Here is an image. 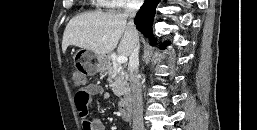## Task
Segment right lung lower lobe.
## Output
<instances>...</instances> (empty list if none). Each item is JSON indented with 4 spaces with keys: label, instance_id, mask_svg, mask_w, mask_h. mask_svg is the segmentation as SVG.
<instances>
[{
    "label": "right lung lower lobe",
    "instance_id": "1",
    "mask_svg": "<svg viewBox=\"0 0 257 130\" xmlns=\"http://www.w3.org/2000/svg\"><path fill=\"white\" fill-rule=\"evenodd\" d=\"M160 0H147L135 17L136 27L154 44L155 38L152 35V23L155 10Z\"/></svg>",
    "mask_w": 257,
    "mask_h": 130
}]
</instances>
